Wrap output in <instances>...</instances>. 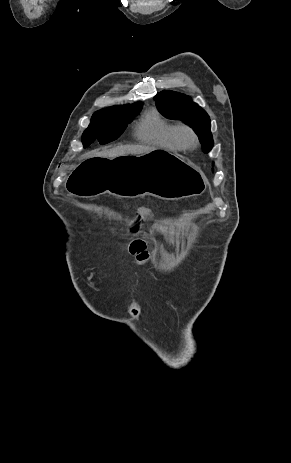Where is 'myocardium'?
Listing matches in <instances>:
<instances>
[{
    "mask_svg": "<svg viewBox=\"0 0 291 463\" xmlns=\"http://www.w3.org/2000/svg\"><path fill=\"white\" fill-rule=\"evenodd\" d=\"M174 136L181 148L192 149L195 148L198 144L197 133L191 126L187 124L176 126Z\"/></svg>",
    "mask_w": 291,
    "mask_h": 463,
    "instance_id": "obj_1",
    "label": "myocardium"
}]
</instances>
